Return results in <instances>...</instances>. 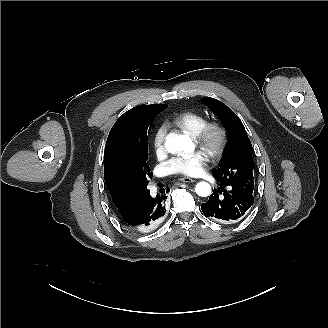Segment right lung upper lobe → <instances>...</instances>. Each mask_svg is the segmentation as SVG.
Masks as SVG:
<instances>
[{"label":"right lung upper lobe","mask_w":328,"mask_h":328,"mask_svg":"<svg viewBox=\"0 0 328 328\" xmlns=\"http://www.w3.org/2000/svg\"><path fill=\"white\" fill-rule=\"evenodd\" d=\"M152 105L163 110L168 107V105H164V104H152ZM141 106H136L131 110L125 112L114 124L111 131L114 130L115 126L120 122L122 118L135 112L136 110L141 108ZM109 135H111V133H109ZM108 138H110V136H108ZM107 141H109V139H107ZM107 149H108L107 146H105V154L107 152ZM104 179L106 182V186L112 197V200L116 208L118 209V213L120 217L122 218L123 221L131 223V220L135 218V215L140 209L146 196H137L127 192L124 188H122V186H120L118 181L114 178L111 172L110 165L106 158H105V166H104Z\"/></svg>","instance_id":"cb5924a9"}]
</instances>
